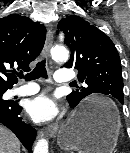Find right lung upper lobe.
<instances>
[{
  "label": "right lung upper lobe",
  "mask_w": 130,
  "mask_h": 153,
  "mask_svg": "<svg viewBox=\"0 0 130 153\" xmlns=\"http://www.w3.org/2000/svg\"><path fill=\"white\" fill-rule=\"evenodd\" d=\"M45 38V26L28 17L10 14L0 19V91L18 81L15 69L30 70L29 63L40 54Z\"/></svg>",
  "instance_id": "obj_1"
}]
</instances>
